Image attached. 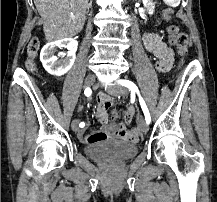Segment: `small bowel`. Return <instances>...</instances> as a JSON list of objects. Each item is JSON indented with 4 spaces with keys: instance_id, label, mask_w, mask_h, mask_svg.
<instances>
[{
    "instance_id": "small-bowel-1",
    "label": "small bowel",
    "mask_w": 217,
    "mask_h": 202,
    "mask_svg": "<svg viewBox=\"0 0 217 202\" xmlns=\"http://www.w3.org/2000/svg\"><path fill=\"white\" fill-rule=\"evenodd\" d=\"M143 40L146 49L158 58V69L160 71L169 70L173 63V52L167 44L155 35H145ZM107 100H110V97L107 94H100L97 98L96 116L99 121L104 123L103 127L89 135H84L83 132H79V140L85 143L94 144L106 138H111L137 143L140 140L142 131H129L128 128L135 115V108L129 106L124 111L123 122L116 125L108 122L109 119H115L118 114L112 108L114 102Z\"/></svg>"
}]
</instances>
